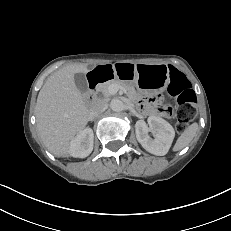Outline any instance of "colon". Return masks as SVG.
Masks as SVG:
<instances>
[{"label": "colon", "mask_w": 231, "mask_h": 231, "mask_svg": "<svg viewBox=\"0 0 231 231\" xmlns=\"http://www.w3.org/2000/svg\"><path fill=\"white\" fill-rule=\"evenodd\" d=\"M169 93L176 98V106L174 109L176 128L178 132H183L196 115V94L193 91L190 82L177 70L172 74ZM158 104L157 101H154V105ZM168 110V106L163 109V111Z\"/></svg>", "instance_id": "1"}]
</instances>
